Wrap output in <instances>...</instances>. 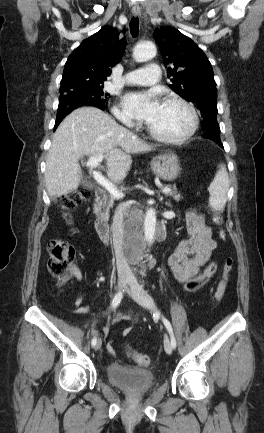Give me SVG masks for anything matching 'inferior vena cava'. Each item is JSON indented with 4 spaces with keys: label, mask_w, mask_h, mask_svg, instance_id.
Here are the masks:
<instances>
[{
    "label": "inferior vena cava",
    "mask_w": 264,
    "mask_h": 433,
    "mask_svg": "<svg viewBox=\"0 0 264 433\" xmlns=\"http://www.w3.org/2000/svg\"><path fill=\"white\" fill-rule=\"evenodd\" d=\"M125 205H120L117 210L113 211V250L115 257L120 259L117 261L118 277L124 279H131L133 277L132 271L127 263L126 252L123 251V242L125 237V232L123 230L124 222V209ZM132 252H142V251H132Z\"/></svg>",
    "instance_id": "1"
}]
</instances>
